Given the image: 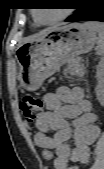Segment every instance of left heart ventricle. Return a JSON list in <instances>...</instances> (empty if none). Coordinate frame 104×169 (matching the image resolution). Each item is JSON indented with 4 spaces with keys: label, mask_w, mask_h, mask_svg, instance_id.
<instances>
[{
    "label": "left heart ventricle",
    "mask_w": 104,
    "mask_h": 169,
    "mask_svg": "<svg viewBox=\"0 0 104 169\" xmlns=\"http://www.w3.org/2000/svg\"><path fill=\"white\" fill-rule=\"evenodd\" d=\"M60 14L61 11H59V9H43L36 11V16L41 21H51L57 18Z\"/></svg>",
    "instance_id": "b2bd125f"
}]
</instances>
